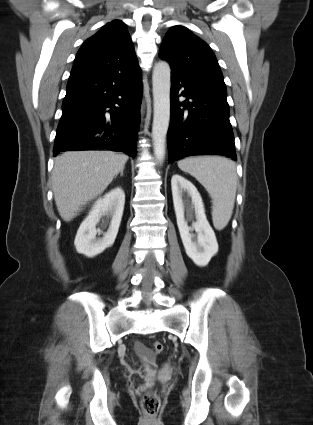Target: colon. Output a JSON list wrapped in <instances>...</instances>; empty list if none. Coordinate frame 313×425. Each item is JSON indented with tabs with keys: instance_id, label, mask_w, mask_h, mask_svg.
<instances>
[{
	"instance_id": "colon-1",
	"label": "colon",
	"mask_w": 313,
	"mask_h": 425,
	"mask_svg": "<svg viewBox=\"0 0 313 425\" xmlns=\"http://www.w3.org/2000/svg\"><path fill=\"white\" fill-rule=\"evenodd\" d=\"M163 344L159 341L153 343V351L156 354L161 353ZM141 408L147 417L153 418L157 415L160 408V400L154 391H148L141 399Z\"/></svg>"
}]
</instances>
